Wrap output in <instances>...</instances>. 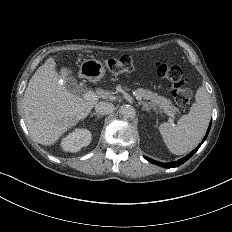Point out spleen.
Returning a JSON list of instances; mask_svg holds the SVG:
<instances>
[{
    "label": "spleen",
    "instance_id": "obj_1",
    "mask_svg": "<svg viewBox=\"0 0 232 232\" xmlns=\"http://www.w3.org/2000/svg\"><path fill=\"white\" fill-rule=\"evenodd\" d=\"M211 117L210 95L204 87L195 93V103L189 114L181 117L176 125L163 122L157 126L166 148L181 155L192 150L204 136Z\"/></svg>",
    "mask_w": 232,
    "mask_h": 232
}]
</instances>
